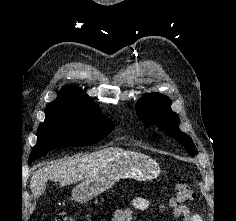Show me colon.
Returning a JSON list of instances; mask_svg holds the SVG:
<instances>
[{
  "mask_svg": "<svg viewBox=\"0 0 236 221\" xmlns=\"http://www.w3.org/2000/svg\"><path fill=\"white\" fill-rule=\"evenodd\" d=\"M175 194L172 198L173 206H183L191 203L196 199V191L195 189L185 180H179L175 184ZM56 221H74L73 218L61 212L57 215Z\"/></svg>",
  "mask_w": 236,
  "mask_h": 221,
  "instance_id": "obj_1",
  "label": "colon"
}]
</instances>
